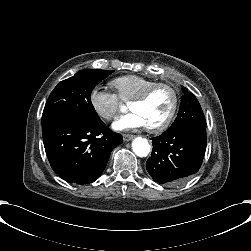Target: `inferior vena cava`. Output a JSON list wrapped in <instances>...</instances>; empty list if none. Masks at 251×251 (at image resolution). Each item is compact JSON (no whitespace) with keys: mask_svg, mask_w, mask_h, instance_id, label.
<instances>
[{"mask_svg":"<svg viewBox=\"0 0 251 251\" xmlns=\"http://www.w3.org/2000/svg\"><path fill=\"white\" fill-rule=\"evenodd\" d=\"M113 117H114V118H118L119 116L114 115Z\"/></svg>","mask_w":251,"mask_h":251,"instance_id":"602c4592","label":"inferior vena cava"}]
</instances>
